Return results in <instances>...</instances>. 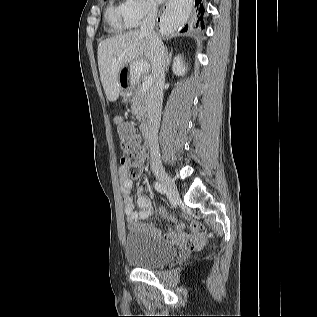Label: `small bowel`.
Instances as JSON below:
<instances>
[{"instance_id":"small-bowel-1","label":"small bowel","mask_w":317,"mask_h":317,"mask_svg":"<svg viewBox=\"0 0 317 317\" xmlns=\"http://www.w3.org/2000/svg\"><path fill=\"white\" fill-rule=\"evenodd\" d=\"M141 160L144 158V152L141 150ZM120 189L123 197L124 213L127 224L131 227L137 225L140 221L148 219L152 213V205L150 199L144 194L143 187L137 189L136 204L134 208L133 199L131 196L132 180L128 176L125 166L119 168ZM159 213L166 217L171 223L176 224L175 231L162 232L152 224L144 226L151 235L155 237H163L167 241L182 242L185 245L194 244L200 246L205 240V229L201 223L193 221L190 224V232L185 231V226L177 224L174 216L169 215L164 209H160Z\"/></svg>"}]
</instances>
